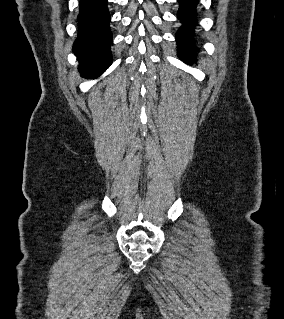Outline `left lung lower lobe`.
<instances>
[{
	"label": "left lung lower lobe",
	"mask_w": 284,
	"mask_h": 319,
	"mask_svg": "<svg viewBox=\"0 0 284 319\" xmlns=\"http://www.w3.org/2000/svg\"><path fill=\"white\" fill-rule=\"evenodd\" d=\"M180 9L178 18L183 22V26L176 35L178 43V55L187 63L192 64L194 57V39L192 28L196 25L195 7L198 0H178Z\"/></svg>",
	"instance_id": "obj_1"
}]
</instances>
